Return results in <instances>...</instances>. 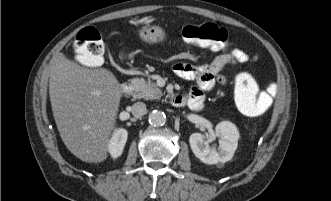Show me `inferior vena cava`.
Returning a JSON list of instances; mask_svg holds the SVG:
<instances>
[{"mask_svg": "<svg viewBox=\"0 0 331 201\" xmlns=\"http://www.w3.org/2000/svg\"><path fill=\"white\" fill-rule=\"evenodd\" d=\"M146 104L143 102H136L132 105L131 112L135 117H142L146 113Z\"/></svg>", "mask_w": 331, "mask_h": 201, "instance_id": "1", "label": "inferior vena cava"}]
</instances>
